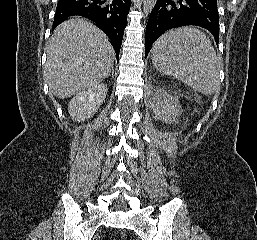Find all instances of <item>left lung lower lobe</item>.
<instances>
[{
    "label": "left lung lower lobe",
    "mask_w": 257,
    "mask_h": 240,
    "mask_svg": "<svg viewBox=\"0 0 257 240\" xmlns=\"http://www.w3.org/2000/svg\"><path fill=\"white\" fill-rule=\"evenodd\" d=\"M189 25L208 30L218 44L217 0H157L146 27L145 56L164 32Z\"/></svg>",
    "instance_id": "1"
}]
</instances>
